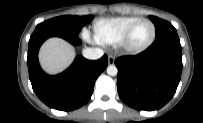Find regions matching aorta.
I'll return each instance as SVG.
<instances>
[{"mask_svg": "<svg viewBox=\"0 0 203 123\" xmlns=\"http://www.w3.org/2000/svg\"><path fill=\"white\" fill-rule=\"evenodd\" d=\"M118 73V69L115 65H110L107 67V74L111 76H115Z\"/></svg>", "mask_w": 203, "mask_h": 123, "instance_id": "obj_1", "label": "aorta"}]
</instances>
